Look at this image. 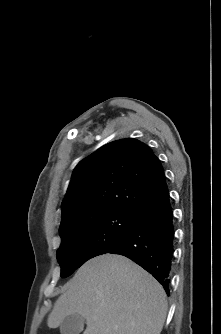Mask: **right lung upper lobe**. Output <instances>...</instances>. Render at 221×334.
<instances>
[{"label":"right lung upper lobe","instance_id":"cb5924a9","mask_svg":"<svg viewBox=\"0 0 221 334\" xmlns=\"http://www.w3.org/2000/svg\"><path fill=\"white\" fill-rule=\"evenodd\" d=\"M165 186L162 165L146 144L131 138L108 143L74 169L62 202L60 236L100 214H135Z\"/></svg>","mask_w":221,"mask_h":334}]
</instances>
